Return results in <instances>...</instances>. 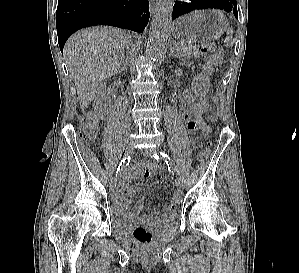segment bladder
<instances>
[{"label": "bladder", "instance_id": "bladder-1", "mask_svg": "<svg viewBox=\"0 0 299 273\" xmlns=\"http://www.w3.org/2000/svg\"><path fill=\"white\" fill-rule=\"evenodd\" d=\"M135 219L134 215L124 214L120 211L114 210L113 212V222L115 225L120 227H125L130 224ZM165 222L170 225L175 224V218L173 216L165 219Z\"/></svg>", "mask_w": 299, "mask_h": 273}]
</instances>
